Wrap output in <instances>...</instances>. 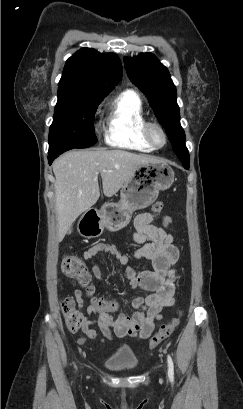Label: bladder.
Returning a JSON list of instances; mask_svg holds the SVG:
<instances>
[{
	"mask_svg": "<svg viewBox=\"0 0 243 409\" xmlns=\"http://www.w3.org/2000/svg\"><path fill=\"white\" fill-rule=\"evenodd\" d=\"M105 367L112 372H129L137 368V363L131 358L115 359L106 362Z\"/></svg>",
	"mask_w": 243,
	"mask_h": 409,
	"instance_id": "obj_1",
	"label": "bladder"
}]
</instances>
